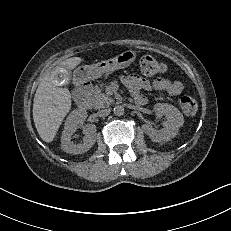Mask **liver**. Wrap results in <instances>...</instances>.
I'll return each instance as SVG.
<instances>
[{
    "instance_id": "liver-1",
    "label": "liver",
    "mask_w": 231,
    "mask_h": 231,
    "mask_svg": "<svg viewBox=\"0 0 231 231\" xmlns=\"http://www.w3.org/2000/svg\"><path fill=\"white\" fill-rule=\"evenodd\" d=\"M83 61L80 57L68 58L60 63L63 68L74 69ZM54 72L40 82L33 101V120L41 139L52 142L63 119L71 109V94L67 88L58 87Z\"/></svg>"
}]
</instances>
